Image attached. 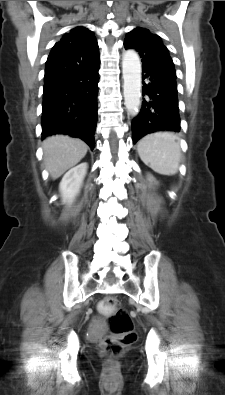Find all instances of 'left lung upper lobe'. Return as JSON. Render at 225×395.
<instances>
[{
	"mask_svg": "<svg viewBox=\"0 0 225 395\" xmlns=\"http://www.w3.org/2000/svg\"><path fill=\"white\" fill-rule=\"evenodd\" d=\"M124 47L134 48L139 52L142 67L164 68L176 72L169 50L162 39L148 29L137 27L127 33Z\"/></svg>",
	"mask_w": 225,
	"mask_h": 395,
	"instance_id": "left-lung-upper-lobe-1",
	"label": "left lung upper lobe"
}]
</instances>
